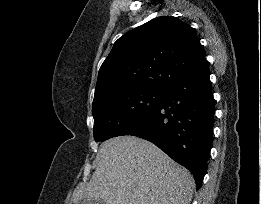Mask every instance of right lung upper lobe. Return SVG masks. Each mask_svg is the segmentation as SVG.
Instances as JSON below:
<instances>
[{
	"label": "right lung upper lobe",
	"mask_w": 261,
	"mask_h": 204,
	"mask_svg": "<svg viewBox=\"0 0 261 204\" xmlns=\"http://www.w3.org/2000/svg\"><path fill=\"white\" fill-rule=\"evenodd\" d=\"M205 55L189 24L173 16L152 19L114 43L99 70L93 104L120 90L164 91L196 70Z\"/></svg>",
	"instance_id": "obj_1"
}]
</instances>
